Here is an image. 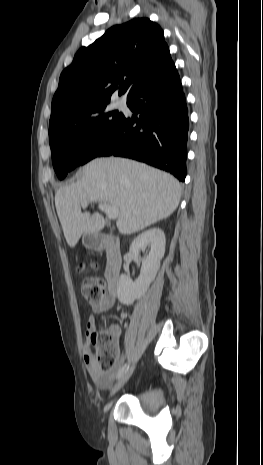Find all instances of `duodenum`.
Instances as JSON below:
<instances>
[{"label": "duodenum", "instance_id": "410a0bca", "mask_svg": "<svg viewBox=\"0 0 263 465\" xmlns=\"http://www.w3.org/2000/svg\"><path fill=\"white\" fill-rule=\"evenodd\" d=\"M87 245L93 250H104L106 252L107 264L105 278L108 283L109 291L115 293L123 263L119 240L115 236L109 234L92 235L88 238Z\"/></svg>", "mask_w": 263, "mask_h": 465}]
</instances>
